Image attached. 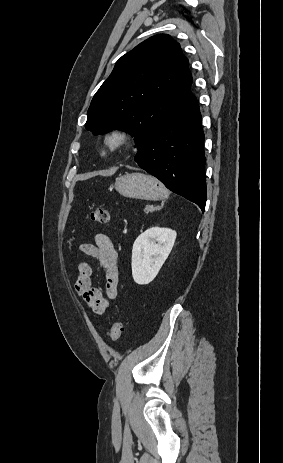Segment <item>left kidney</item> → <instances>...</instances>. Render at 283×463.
I'll use <instances>...</instances> for the list:
<instances>
[{
	"mask_svg": "<svg viewBox=\"0 0 283 463\" xmlns=\"http://www.w3.org/2000/svg\"><path fill=\"white\" fill-rule=\"evenodd\" d=\"M177 233L169 228L152 227L135 240L132 249V276L139 285L149 284L168 258ZM157 242V243H156Z\"/></svg>",
	"mask_w": 283,
	"mask_h": 463,
	"instance_id": "5707ae66",
	"label": "left kidney"
}]
</instances>
